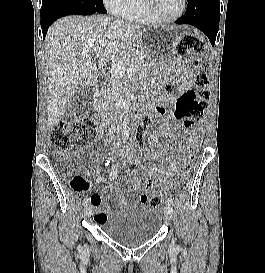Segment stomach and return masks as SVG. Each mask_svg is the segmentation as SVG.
Masks as SVG:
<instances>
[{
  "mask_svg": "<svg viewBox=\"0 0 265 273\" xmlns=\"http://www.w3.org/2000/svg\"><path fill=\"white\" fill-rule=\"evenodd\" d=\"M186 35V25H160V29L148 28L137 37V44H127V49H144L140 55L138 69H145L151 73L152 69H165V64H172L169 56H176V51H163L175 49L177 42Z\"/></svg>",
  "mask_w": 265,
  "mask_h": 273,
  "instance_id": "1",
  "label": "stomach"
}]
</instances>
